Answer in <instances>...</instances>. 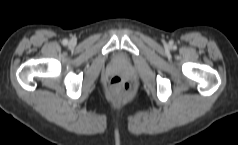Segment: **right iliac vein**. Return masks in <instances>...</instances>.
I'll use <instances>...</instances> for the list:
<instances>
[{
  "label": "right iliac vein",
  "mask_w": 238,
  "mask_h": 145,
  "mask_svg": "<svg viewBox=\"0 0 238 145\" xmlns=\"http://www.w3.org/2000/svg\"><path fill=\"white\" fill-rule=\"evenodd\" d=\"M73 43H74V41H73V40H71V41H70V44H73Z\"/></svg>",
  "instance_id": "obj_1"
}]
</instances>
